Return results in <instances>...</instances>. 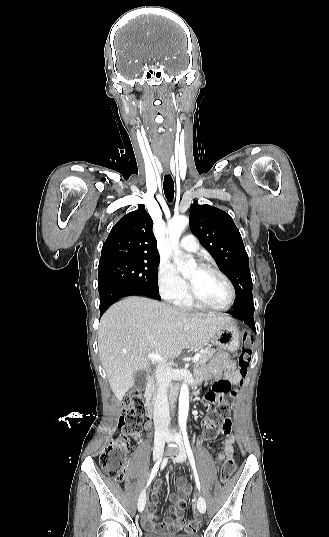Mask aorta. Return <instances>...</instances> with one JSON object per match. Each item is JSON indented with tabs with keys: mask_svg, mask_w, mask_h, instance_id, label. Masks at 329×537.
Returning a JSON list of instances; mask_svg holds the SVG:
<instances>
[{
	"mask_svg": "<svg viewBox=\"0 0 329 537\" xmlns=\"http://www.w3.org/2000/svg\"><path fill=\"white\" fill-rule=\"evenodd\" d=\"M189 223V219L186 216L174 217L171 222L168 224V235L169 240L174 252V261L177 265L179 271L183 273H188L191 269L196 267V262L194 258L182 256L181 251L178 248L179 239L182 231L186 228ZM189 410V389L186 383H183L179 395V416L178 422L179 426L184 428L186 427L187 417Z\"/></svg>",
	"mask_w": 329,
	"mask_h": 537,
	"instance_id": "762f6f07",
	"label": "aorta"
}]
</instances>
